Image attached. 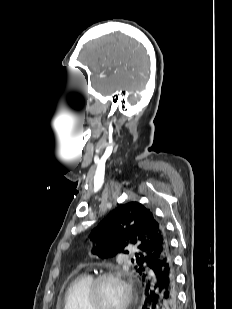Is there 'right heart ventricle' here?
I'll return each mask as SVG.
<instances>
[{
    "label": "right heart ventricle",
    "instance_id": "obj_1",
    "mask_svg": "<svg viewBox=\"0 0 232 309\" xmlns=\"http://www.w3.org/2000/svg\"><path fill=\"white\" fill-rule=\"evenodd\" d=\"M92 277L89 274H80L68 286L64 309H90L87 302V291Z\"/></svg>",
    "mask_w": 232,
    "mask_h": 309
}]
</instances>
